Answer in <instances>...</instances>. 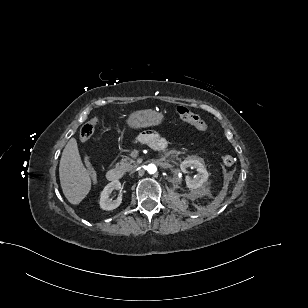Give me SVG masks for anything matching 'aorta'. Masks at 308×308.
Instances as JSON below:
<instances>
[{"mask_svg": "<svg viewBox=\"0 0 308 308\" xmlns=\"http://www.w3.org/2000/svg\"><path fill=\"white\" fill-rule=\"evenodd\" d=\"M146 170L149 174H154L156 173L157 171V167L155 164H149L147 167H146Z\"/></svg>", "mask_w": 308, "mask_h": 308, "instance_id": "obj_1", "label": "aorta"}]
</instances>
